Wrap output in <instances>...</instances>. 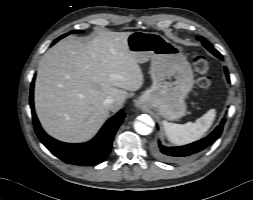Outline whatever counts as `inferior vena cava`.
<instances>
[{
	"label": "inferior vena cava",
	"mask_w": 253,
	"mask_h": 200,
	"mask_svg": "<svg viewBox=\"0 0 253 200\" xmlns=\"http://www.w3.org/2000/svg\"><path fill=\"white\" fill-rule=\"evenodd\" d=\"M103 104L105 105V107H107L108 109H111L113 107L114 104V99L112 97H107Z\"/></svg>",
	"instance_id": "1"
}]
</instances>
